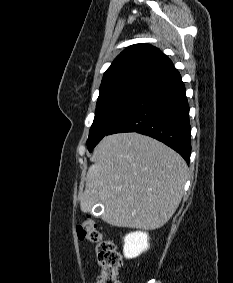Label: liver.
<instances>
[{"mask_svg":"<svg viewBox=\"0 0 233 283\" xmlns=\"http://www.w3.org/2000/svg\"><path fill=\"white\" fill-rule=\"evenodd\" d=\"M80 197L82 212L101 203V218L110 225L144 230L162 227L178 208L188 167L165 144L135 132L105 136Z\"/></svg>","mask_w":233,"mask_h":283,"instance_id":"6515ba94","label":"liver"}]
</instances>
